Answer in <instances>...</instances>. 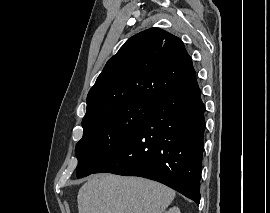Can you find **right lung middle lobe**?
Instances as JSON below:
<instances>
[{"mask_svg":"<svg viewBox=\"0 0 270 213\" xmlns=\"http://www.w3.org/2000/svg\"><path fill=\"white\" fill-rule=\"evenodd\" d=\"M156 103L135 100L82 121L83 137L77 143L78 178L94 173L138 130Z\"/></svg>","mask_w":270,"mask_h":213,"instance_id":"obj_1","label":"right lung middle lobe"}]
</instances>
